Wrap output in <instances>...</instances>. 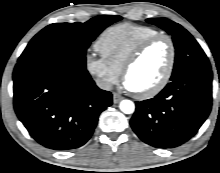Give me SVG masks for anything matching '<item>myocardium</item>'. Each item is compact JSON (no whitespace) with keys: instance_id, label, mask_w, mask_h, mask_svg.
I'll use <instances>...</instances> for the list:
<instances>
[{"instance_id":"f54148a6","label":"myocardium","mask_w":220,"mask_h":173,"mask_svg":"<svg viewBox=\"0 0 220 173\" xmlns=\"http://www.w3.org/2000/svg\"><path fill=\"white\" fill-rule=\"evenodd\" d=\"M161 39L167 40L169 43V46H170V59H169L167 69H166L164 75L162 76V78L158 81V83L155 84L154 86H152L151 88H149L148 90L143 91V92H137V91L131 90V93L138 99L152 98V97L158 95L168 85V83L173 75V72H174V68H175V64H176V55H177L176 54V46H175V43H174L172 37L169 36L168 34H165V33H158L156 35H153V36L147 38L146 40L141 42L134 49V51L128 57V59L126 60L124 66L122 68V79L125 82L128 72L135 65V63L142 57L144 52L152 44H154L155 42H157L158 40H161Z\"/></svg>"}]
</instances>
